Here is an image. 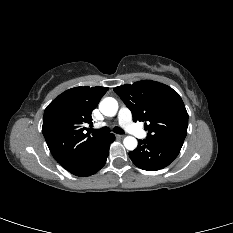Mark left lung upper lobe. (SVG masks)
I'll return each instance as SVG.
<instances>
[{
  "instance_id": "obj_1",
  "label": "left lung upper lobe",
  "mask_w": 233,
  "mask_h": 233,
  "mask_svg": "<svg viewBox=\"0 0 233 233\" xmlns=\"http://www.w3.org/2000/svg\"><path fill=\"white\" fill-rule=\"evenodd\" d=\"M131 110L133 121H145L150 141H184L188 114L179 94L169 86L151 80L114 88Z\"/></svg>"
}]
</instances>
